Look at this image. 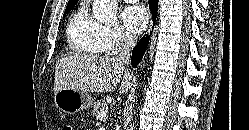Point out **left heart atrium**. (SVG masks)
<instances>
[{"label":"left heart atrium","mask_w":249,"mask_h":130,"mask_svg":"<svg viewBox=\"0 0 249 130\" xmlns=\"http://www.w3.org/2000/svg\"><path fill=\"white\" fill-rule=\"evenodd\" d=\"M122 20L129 32L139 34L148 24V13L141 5H131L124 8Z\"/></svg>","instance_id":"1"}]
</instances>
